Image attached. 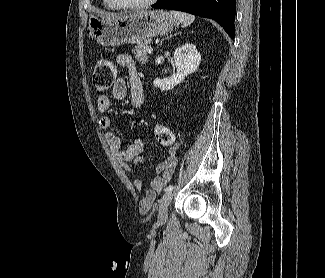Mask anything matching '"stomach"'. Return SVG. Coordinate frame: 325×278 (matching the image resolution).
I'll return each instance as SVG.
<instances>
[{
    "instance_id": "stomach-1",
    "label": "stomach",
    "mask_w": 325,
    "mask_h": 278,
    "mask_svg": "<svg viewBox=\"0 0 325 278\" xmlns=\"http://www.w3.org/2000/svg\"><path fill=\"white\" fill-rule=\"evenodd\" d=\"M177 19L162 10H141L129 15L92 14L89 18L91 36L102 46L141 44L151 37L168 33Z\"/></svg>"
}]
</instances>
